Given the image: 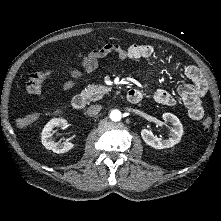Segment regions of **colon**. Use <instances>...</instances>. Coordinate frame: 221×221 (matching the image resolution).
<instances>
[{"instance_id":"colon-1","label":"colon","mask_w":221,"mask_h":221,"mask_svg":"<svg viewBox=\"0 0 221 221\" xmlns=\"http://www.w3.org/2000/svg\"><path fill=\"white\" fill-rule=\"evenodd\" d=\"M49 75L48 70H40L36 73H33L29 76L25 88L26 91L30 94L39 95L42 92V84L46 77ZM38 118V115L36 113L26 115L24 117H21L18 120V126L20 127H28L32 123H34ZM213 120L211 117H206L202 122V127L205 131L210 130L212 126Z\"/></svg>"}]
</instances>
